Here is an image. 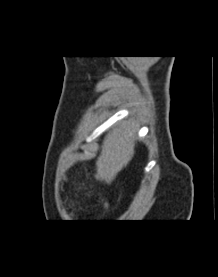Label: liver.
Wrapping results in <instances>:
<instances>
[{"label":"liver","mask_w":218,"mask_h":277,"mask_svg":"<svg viewBox=\"0 0 218 277\" xmlns=\"http://www.w3.org/2000/svg\"><path fill=\"white\" fill-rule=\"evenodd\" d=\"M135 134L134 127L126 124L106 135L101 154L96 161L97 180L110 184L128 165L134 155Z\"/></svg>","instance_id":"obj_1"}]
</instances>
